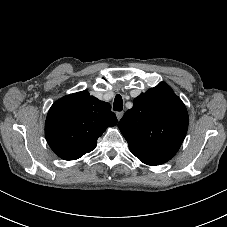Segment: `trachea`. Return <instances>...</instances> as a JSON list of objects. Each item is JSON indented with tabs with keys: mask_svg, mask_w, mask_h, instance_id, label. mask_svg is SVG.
<instances>
[{
	"mask_svg": "<svg viewBox=\"0 0 227 227\" xmlns=\"http://www.w3.org/2000/svg\"><path fill=\"white\" fill-rule=\"evenodd\" d=\"M123 109V99L122 96L117 94L114 99L113 110L122 111Z\"/></svg>",
	"mask_w": 227,
	"mask_h": 227,
	"instance_id": "obj_1",
	"label": "trachea"
}]
</instances>
